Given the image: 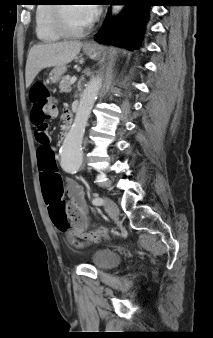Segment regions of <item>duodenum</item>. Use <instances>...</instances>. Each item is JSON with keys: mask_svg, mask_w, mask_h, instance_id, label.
I'll use <instances>...</instances> for the list:
<instances>
[{"mask_svg": "<svg viewBox=\"0 0 213 338\" xmlns=\"http://www.w3.org/2000/svg\"><path fill=\"white\" fill-rule=\"evenodd\" d=\"M73 124V113L69 112L66 118V121L62 127V132H61V136L62 138H66L68 136V133L72 127Z\"/></svg>", "mask_w": 213, "mask_h": 338, "instance_id": "duodenum-1", "label": "duodenum"}]
</instances>
